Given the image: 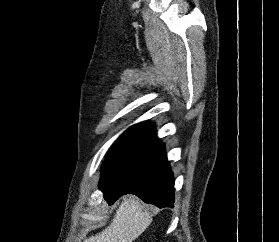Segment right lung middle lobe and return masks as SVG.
<instances>
[{
    "instance_id": "dd1d6c3e",
    "label": "right lung middle lobe",
    "mask_w": 279,
    "mask_h": 242,
    "mask_svg": "<svg viewBox=\"0 0 279 242\" xmlns=\"http://www.w3.org/2000/svg\"><path fill=\"white\" fill-rule=\"evenodd\" d=\"M155 136L156 132L152 124L139 123L127 129L113 144L103 163L100 182L116 172Z\"/></svg>"
}]
</instances>
